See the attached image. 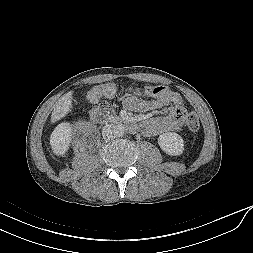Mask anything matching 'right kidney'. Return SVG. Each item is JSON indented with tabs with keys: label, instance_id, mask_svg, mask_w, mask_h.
Masks as SVG:
<instances>
[{
	"label": "right kidney",
	"instance_id": "ca27d5eb",
	"mask_svg": "<svg viewBox=\"0 0 253 253\" xmlns=\"http://www.w3.org/2000/svg\"><path fill=\"white\" fill-rule=\"evenodd\" d=\"M72 141V129L69 124H59L52 132L50 137V145L52 151L57 156H63L69 149Z\"/></svg>",
	"mask_w": 253,
	"mask_h": 253
}]
</instances>
